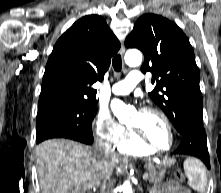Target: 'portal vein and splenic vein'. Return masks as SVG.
Segmentation results:
<instances>
[{
	"instance_id": "1",
	"label": "portal vein and splenic vein",
	"mask_w": 221,
	"mask_h": 193,
	"mask_svg": "<svg viewBox=\"0 0 221 193\" xmlns=\"http://www.w3.org/2000/svg\"><path fill=\"white\" fill-rule=\"evenodd\" d=\"M148 177H149V174H148V173H144V174H143V180H147Z\"/></svg>"
}]
</instances>
